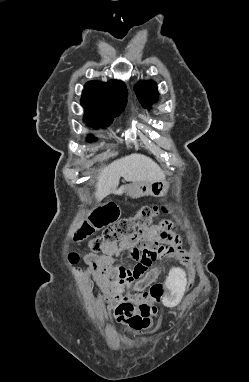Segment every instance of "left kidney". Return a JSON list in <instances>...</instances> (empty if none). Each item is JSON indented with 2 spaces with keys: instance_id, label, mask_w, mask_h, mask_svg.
<instances>
[{
  "instance_id": "1",
  "label": "left kidney",
  "mask_w": 249,
  "mask_h": 382,
  "mask_svg": "<svg viewBox=\"0 0 249 382\" xmlns=\"http://www.w3.org/2000/svg\"><path fill=\"white\" fill-rule=\"evenodd\" d=\"M162 282L165 283L166 294L161 298V305L164 309H175L186 296L189 277L176 266L162 277Z\"/></svg>"
}]
</instances>
